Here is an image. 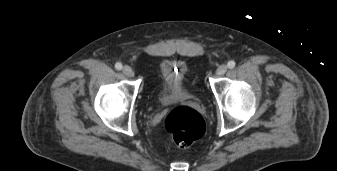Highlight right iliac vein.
<instances>
[{"label": "right iliac vein", "mask_w": 337, "mask_h": 171, "mask_svg": "<svg viewBox=\"0 0 337 171\" xmlns=\"http://www.w3.org/2000/svg\"><path fill=\"white\" fill-rule=\"evenodd\" d=\"M122 71H123V74L127 77L134 76V72L130 66H124Z\"/></svg>", "instance_id": "1"}]
</instances>
